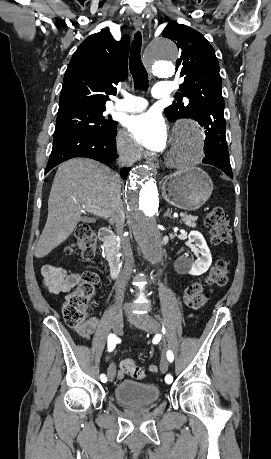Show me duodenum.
Segmentation results:
<instances>
[{"mask_svg":"<svg viewBox=\"0 0 271 459\" xmlns=\"http://www.w3.org/2000/svg\"><path fill=\"white\" fill-rule=\"evenodd\" d=\"M100 241L106 248L107 261L110 267L111 275L116 278L119 273V265L116 257L113 254V233L109 227H102L98 233Z\"/></svg>","mask_w":271,"mask_h":459,"instance_id":"duodenum-1","label":"duodenum"}]
</instances>
